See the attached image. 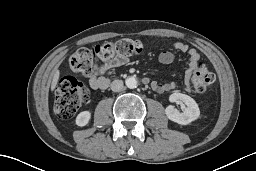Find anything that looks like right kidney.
Here are the masks:
<instances>
[{"instance_id":"1","label":"right kidney","mask_w":256,"mask_h":171,"mask_svg":"<svg viewBox=\"0 0 256 171\" xmlns=\"http://www.w3.org/2000/svg\"><path fill=\"white\" fill-rule=\"evenodd\" d=\"M90 118H91L90 111H82L76 117V125L80 127L86 126L89 123Z\"/></svg>"}]
</instances>
